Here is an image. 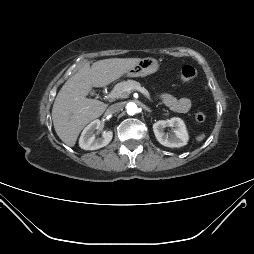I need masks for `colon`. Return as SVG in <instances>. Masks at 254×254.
I'll list each match as a JSON object with an SVG mask.
<instances>
[{
  "label": "colon",
  "instance_id": "obj_1",
  "mask_svg": "<svg viewBox=\"0 0 254 254\" xmlns=\"http://www.w3.org/2000/svg\"><path fill=\"white\" fill-rule=\"evenodd\" d=\"M197 77V70L191 65H185L182 67L180 72V79L182 82L193 81ZM195 119L198 122H204L206 115L202 111H197L195 113Z\"/></svg>",
  "mask_w": 254,
  "mask_h": 254
}]
</instances>
